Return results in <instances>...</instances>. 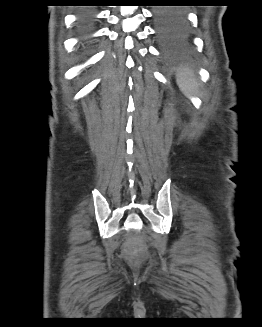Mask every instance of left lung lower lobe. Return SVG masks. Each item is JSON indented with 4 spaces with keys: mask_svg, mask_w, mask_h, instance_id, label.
I'll list each match as a JSON object with an SVG mask.
<instances>
[{
    "mask_svg": "<svg viewBox=\"0 0 262 327\" xmlns=\"http://www.w3.org/2000/svg\"><path fill=\"white\" fill-rule=\"evenodd\" d=\"M157 33L168 55H186L192 50L188 35V22L185 15L177 9L158 8L154 11Z\"/></svg>",
    "mask_w": 262,
    "mask_h": 327,
    "instance_id": "1",
    "label": "left lung lower lobe"
}]
</instances>
